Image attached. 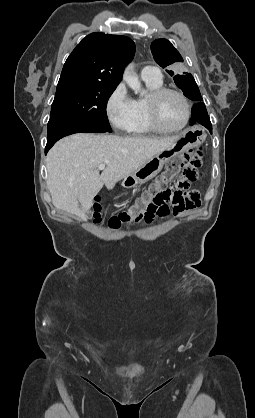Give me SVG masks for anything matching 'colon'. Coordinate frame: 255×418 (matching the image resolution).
Here are the masks:
<instances>
[{"label":"colon","mask_w":255,"mask_h":418,"mask_svg":"<svg viewBox=\"0 0 255 418\" xmlns=\"http://www.w3.org/2000/svg\"><path fill=\"white\" fill-rule=\"evenodd\" d=\"M202 159V150L196 149L185 153L181 160L171 162L158 181L148 187L136 204L109 219V228L118 230L124 225L135 224L141 220L151 223L155 218L166 217L171 211L179 214L199 206V193L191 190L190 184L201 177ZM176 176L177 189H166L165 183ZM101 220V206L96 204L94 221L100 223Z\"/></svg>","instance_id":"5ec220e1"}]
</instances>
